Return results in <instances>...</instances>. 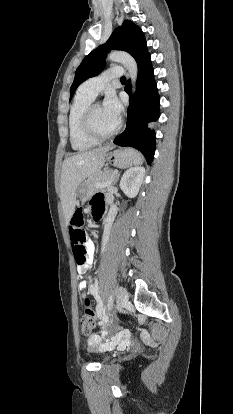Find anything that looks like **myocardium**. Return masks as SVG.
I'll list each match as a JSON object with an SVG mask.
<instances>
[{"instance_id":"f54148a6","label":"myocardium","mask_w":233,"mask_h":414,"mask_svg":"<svg viewBox=\"0 0 233 414\" xmlns=\"http://www.w3.org/2000/svg\"><path fill=\"white\" fill-rule=\"evenodd\" d=\"M96 105L97 103L91 102L84 110L82 117H81V129L86 137H88L89 139L93 141L100 142V141H105L115 136L121 128V121L118 120L114 129L110 131L109 133L99 134L94 129L93 124H92V113Z\"/></svg>"}]
</instances>
